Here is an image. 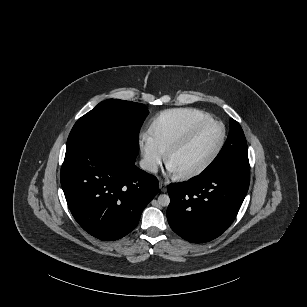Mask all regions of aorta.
<instances>
[{
	"label": "aorta",
	"mask_w": 307,
	"mask_h": 307,
	"mask_svg": "<svg viewBox=\"0 0 307 307\" xmlns=\"http://www.w3.org/2000/svg\"><path fill=\"white\" fill-rule=\"evenodd\" d=\"M170 203V198L166 194H161L158 197V204L161 206H168Z\"/></svg>",
	"instance_id": "1"
}]
</instances>
